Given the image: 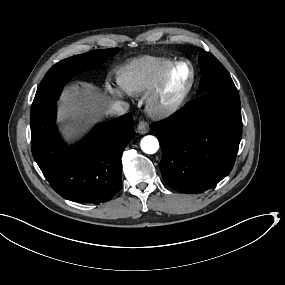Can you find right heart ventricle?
I'll list each match as a JSON object with an SVG mask.
<instances>
[{
    "mask_svg": "<svg viewBox=\"0 0 285 285\" xmlns=\"http://www.w3.org/2000/svg\"><path fill=\"white\" fill-rule=\"evenodd\" d=\"M135 70L123 82L124 89L133 96L150 90L171 67V62L162 57L144 56L134 62Z\"/></svg>",
    "mask_w": 285,
    "mask_h": 285,
    "instance_id": "1",
    "label": "right heart ventricle"
}]
</instances>
